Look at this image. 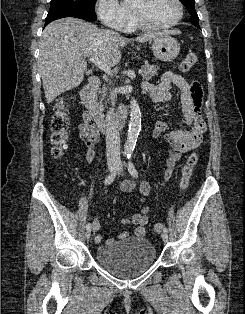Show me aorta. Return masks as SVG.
I'll list each match as a JSON object with an SVG mask.
<instances>
[{
	"instance_id": "762f6f07",
	"label": "aorta",
	"mask_w": 245,
	"mask_h": 314,
	"mask_svg": "<svg viewBox=\"0 0 245 314\" xmlns=\"http://www.w3.org/2000/svg\"><path fill=\"white\" fill-rule=\"evenodd\" d=\"M130 120L127 141L124 146L126 154H131L135 148L136 141L141 130V111L135 99L130 102Z\"/></svg>"
}]
</instances>
